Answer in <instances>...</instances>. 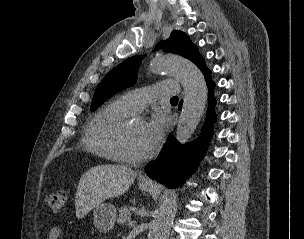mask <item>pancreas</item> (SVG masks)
I'll return each mask as SVG.
<instances>
[{"mask_svg": "<svg viewBox=\"0 0 304 239\" xmlns=\"http://www.w3.org/2000/svg\"><path fill=\"white\" fill-rule=\"evenodd\" d=\"M131 207L123 206L119 209V216L117 218L118 224L128 223L131 220Z\"/></svg>", "mask_w": 304, "mask_h": 239, "instance_id": "cf45deb5", "label": "pancreas"}]
</instances>
